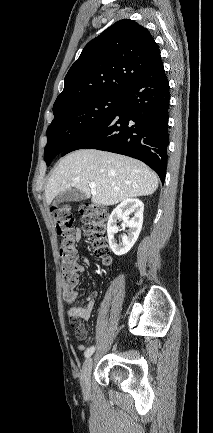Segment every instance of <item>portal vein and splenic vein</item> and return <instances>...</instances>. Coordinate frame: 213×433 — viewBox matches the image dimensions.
I'll use <instances>...</instances> for the list:
<instances>
[{
  "label": "portal vein and splenic vein",
  "mask_w": 213,
  "mask_h": 433,
  "mask_svg": "<svg viewBox=\"0 0 213 433\" xmlns=\"http://www.w3.org/2000/svg\"><path fill=\"white\" fill-rule=\"evenodd\" d=\"M89 187L91 190H94L96 188V183H94V182L89 183Z\"/></svg>",
  "instance_id": "portal-vein-and-splenic-vein-1"
}]
</instances>
